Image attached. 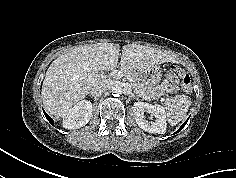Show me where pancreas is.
Returning a JSON list of instances; mask_svg holds the SVG:
<instances>
[{
	"instance_id": "cf45deb5",
	"label": "pancreas",
	"mask_w": 236,
	"mask_h": 178,
	"mask_svg": "<svg viewBox=\"0 0 236 178\" xmlns=\"http://www.w3.org/2000/svg\"><path fill=\"white\" fill-rule=\"evenodd\" d=\"M122 72L124 75H129L132 78V84L134 85V91L137 96L145 100H153L162 94L159 87L154 88L144 85L136 71L123 69Z\"/></svg>"
}]
</instances>
